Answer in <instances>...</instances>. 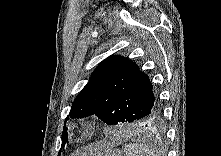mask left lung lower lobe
Here are the masks:
<instances>
[{"instance_id":"1","label":"left lung lower lobe","mask_w":221,"mask_h":156,"mask_svg":"<svg viewBox=\"0 0 221 156\" xmlns=\"http://www.w3.org/2000/svg\"><path fill=\"white\" fill-rule=\"evenodd\" d=\"M131 126L136 128H147V129H158L162 128L163 116L161 104L155 110H152L148 114H144L138 117L136 120L129 123Z\"/></svg>"}]
</instances>
